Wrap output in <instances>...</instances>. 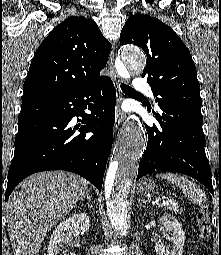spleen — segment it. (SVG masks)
<instances>
[{
	"label": "spleen",
	"mask_w": 221,
	"mask_h": 255,
	"mask_svg": "<svg viewBox=\"0 0 221 255\" xmlns=\"http://www.w3.org/2000/svg\"><path fill=\"white\" fill-rule=\"evenodd\" d=\"M157 177L167 180L171 184L182 189L185 196H188L194 204L202 205L206 201L203 191L192 181L188 180L184 176H180L174 173L158 174Z\"/></svg>",
	"instance_id": "1"
}]
</instances>
